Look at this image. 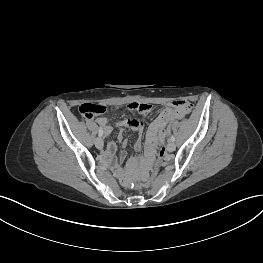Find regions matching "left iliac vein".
<instances>
[{
	"instance_id": "left-iliac-vein-1",
	"label": "left iliac vein",
	"mask_w": 263,
	"mask_h": 263,
	"mask_svg": "<svg viewBox=\"0 0 263 263\" xmlns=\"http://www.w3.org/2000/svg\"><path fill=\"white\" fill-rule=\"evenodd\" d=\"M175 143L173 142V141H170L169 143H168V145H167V150L169 151V152H173L174 150H175Z\"/></svg>"
}]
</instances>
